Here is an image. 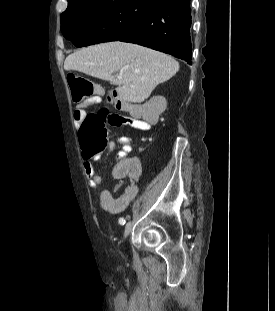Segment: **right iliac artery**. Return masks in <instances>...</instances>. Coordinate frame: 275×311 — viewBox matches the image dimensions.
<instances>
[{"label": "right iliac artery", "mask_w": 275, "mask_h": 311, "mask_svg": "<svg viewBox=\"0 0 275 311\" xmlns=\"http://www.w3.org/2000/svg\"><path fill=\"white\" fill-rule=\"evenodd\" d=\"M125 222H126V221H125V219H124V218H120V219H119V223H120L121 225H124V224H125Z\"/></svg>", "instance_id": "obj_1"}]
</instances>
